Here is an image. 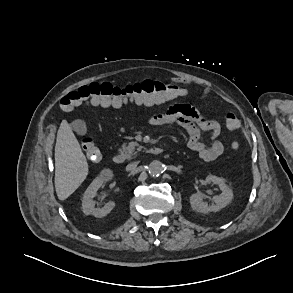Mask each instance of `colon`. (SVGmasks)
<instances>
[{
  "instance_id": "obj_1",
  "label": "colon",
  "mask_w": 293,
  "mask_h": 293,
  "mask_svg": "<svg viewBox=\"0 0 293 293\" xmlns=\"http://www.w3.org/2000/svg\"><path fill=\"white\" fill-rule=\"evenodd\" d=\"M183 95V88L161 81L144 80L123 86L108 82H93L63 96L59 101V108L62 111H69L84 103L101 107H120L140 99L165 101L177 99ZM239 124V120L233 114L227 115L226 126L228 129L235 130ZM81 145L90 162L95 163L100 160L101 152L90 137L83 136ZM233 148H237V145L234 144Z\"/></svg>"
}]
</instances>
